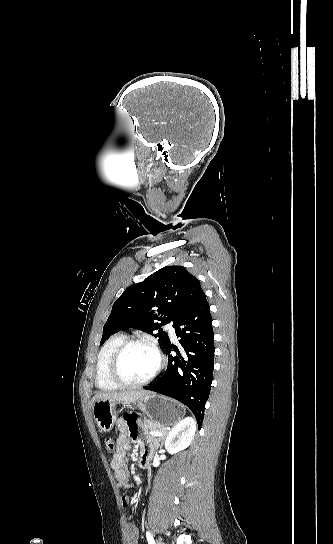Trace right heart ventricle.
<instances>
[{
	"instance_id": "right-heart-ventricle-1",
	"label": "right heart ventricle",
	"mask_w": 333,
	"mask_h": 544,
	"mask_svg": "<svg viewBox=\"0 0 333 544\" xmlns=\"http://www.w3.org/2000/svg\"><path fill=\"white\" fill-rule=\"evenodd\" d=\"M125 340H127L125 334H114L110 336L100 347L95 366V384L100 390L112 391L119 387V385L110 379L108 367L114 351Z\"/></svg>"
}]
</instances>
